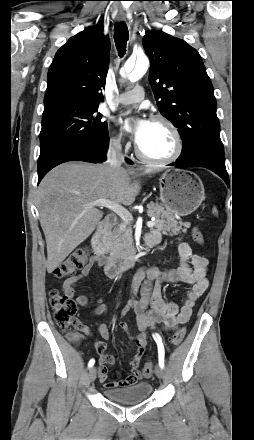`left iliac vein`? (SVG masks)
I'll list each match as a JSON object with an SVG mask.
<instances>
[{
	"label": "left iliac vein",
	"mask_w": 254,
	"mask_h": 440,
	"mask_svg": "<svg viewBox=\"0 0 254 440\" xmlns=\"http://www.w3.org/2000/svg\"><path fill=\"white\" fill-rule=\"evenodd\" d=\"M154 372H155V375H156L159 379H163V378H164V371L162 370V368H161L159 365H157V366L155 367Z\"/></svg>",
	"instance_id": "obj_1"
}]
</instances>
